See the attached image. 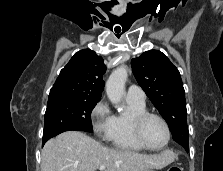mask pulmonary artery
Listing matches in <instances>:
<instances>
[{
  "label": "pulmonary artery",
  "mask_w": 223,
  "mask_h": 171,
  "mask_svg": "<svg viewBox=\"0 0 223 171\" xmlns=\"http://www.w3.org/2000/svg\"><path fill=\"white\" fill-rule=\"evenodd\" d=\"M126 98L139 103H145V92L137 85H130L127 89Z\"/></svg>",
  "instance_id": "obj_1"
}]
</instances>
